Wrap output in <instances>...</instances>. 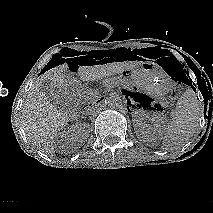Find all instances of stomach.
<instances>
[{
  "instance_id": "stomach-1",
  "label": "stomach",
  "mask_w": 213,
  "mask_h": 213,
  "mask_svg": "<svg viewBox=\"0 0 213 213\" xmlns=\"http://www.w3.org/2000/svg\"><path fill=\"white\" fill-rule=\"evenodd\" d=\"M123 74L150 97H165L172 88L170 78L155 62H141L131 69L124 70Z\"/></svg>"
}]
</instances>
